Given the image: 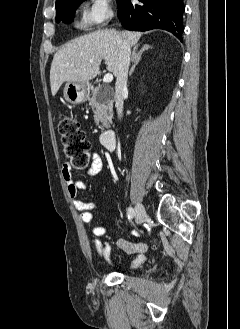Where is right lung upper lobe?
<instances>
[{
  "label": "right lung upper lobe",
  "mask_w": 240,
  "mask_h": 329,
  "mask_svg": "<svg viewBox=\"0 0 240 329\" xmlns=\"http://www.w3.org/2000/svg\"><path fill=\"white\" fill-rule=\"evenodd\" d=\"M65 1H67V0H56V7L61 5Z\"/></svg>",
  "instance_id": "obj_1"
}]
</instances>
